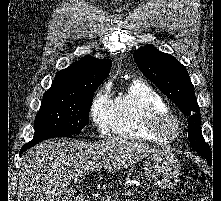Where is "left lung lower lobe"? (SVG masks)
<instances>
[{"instance_id":"obj_1","label":"left lung lower lobe","mask_w":221,"mask_h":201,"mask_svg":"<svg viewBox=\"0 0 221 201\" xmlns=\"http://www.w3.org/2000/svg\"><path fill=\"white\" fill-rule=\"evenodd\" d=\"M205 158L207 159L208 163L211 164L212 158L211 157H205Z\"/></svg>"}]
</instances>
